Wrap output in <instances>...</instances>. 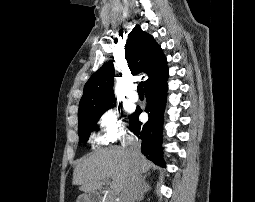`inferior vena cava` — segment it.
I'll list each match as a JSON object with an SVG mask.
<instances>
[{"mask_svg":"<svg viewBox=\"0 0 255 202\" xmlns=\"http://www.w3.org/2000/svg\"><path fill=\"white\" fill-rule=\"evenodd\" d=\"M128 144V152L132 160L136 163L141 155V143L133 135L126 137ZM144 193L143 179L138 167L135 166L132 170L130 179L125 185L120 194V202H135L136 199H141Z\"/></svg>","mask_w":255,"mask_h":202,"instance_id":"obj_1","label":"inferior vena cava"}]
</instances>
